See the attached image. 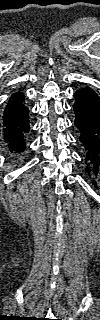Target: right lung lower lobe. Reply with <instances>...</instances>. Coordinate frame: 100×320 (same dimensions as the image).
Returning a JSON list of instances; mask_svg holds the SVG:
<instances>
[{
  "label": "right lung lower lobe",
  "mask_w": 100,
  "mask_h": 320,
  "mask_svg": "<svg viewBox=\"0 0 100 320\" xmlns=\"http://www.w3.org/2000/svg\"><path fill=\"white\" fill-rule=\"evenodd\" d=\"M4 140L14 156L21 155L26 149L30 132L29 108L25 103V95L21 92L13 94L3 113Z\"/></svg>",
  "instance_id": "1"
}]
</instances>
